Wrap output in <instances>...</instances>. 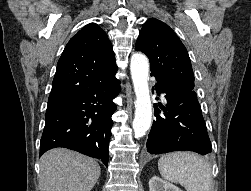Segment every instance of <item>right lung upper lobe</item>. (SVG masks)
I'll list each match as a JSON object with an SVG mask.
<instances>
[{
	"mask_svg": "<svg viewBox=\"0 0 251 191\" xmlns=\"http://www.w3.org/2000/svg\"><path fill=\"white\" fill-rule=\"evenodd\" d=\"M116 72L115 56L108 36L97 24L86 25L71 38L58 61L48 107L109 82Z\"/></svg>",
	"mask_w": 251,
	"mask_h": 191,
	"instance_id": "1",
	"label": "right lung upper lobe"
}]
</instances>
